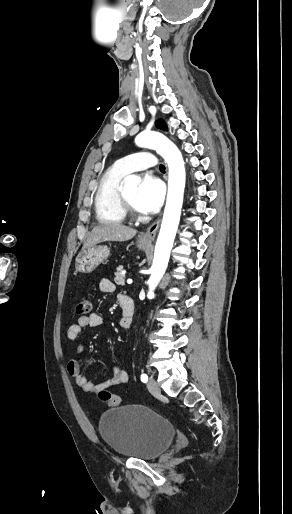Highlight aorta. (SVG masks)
<instances>
[{"mask_svg":"<svg viewBox=\"0 0 292 514\" xmlns=\"http://www.w3.org/2000/svg\"><path fill=\"white\" fill-rule=\"evenodd\" d=\"M140 148L156 150L168 164V194L163 220L155 246L151 276L148 280V296H153V290L158 286L168 266L170 252L173 248L183 204L185 188V168L181 152L177 146L170 142L166 136L159 132H141L135 140ZM125 186H138L140 180L137 176H127L124 180Z\"/></svg>","mask_w":292,"mask_h":514,"instance_id":"762f6f07","label":"aorta"}]
</instances>
